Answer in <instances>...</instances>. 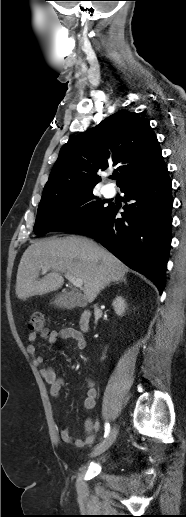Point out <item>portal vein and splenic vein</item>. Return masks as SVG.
<instances>
[{"label": "portal vein and splenic vein", "mask_w": 186, "mask_h": 517, "mask_svg": "<svg viewBox=\"0 0 186 517\" xmlns=\"http://www.w3.org/2000/svg\"><path fill=\"white\" fill-rule=\"evenodd\" d=\"M49 270V267H43L42 271L45 273ZM65 277L68 279L70 283H72L75 287L81 288L83 285V280L81 278H76L71 274H66Z\"/></svg>", "instance_id": "1"}]
</instances>
